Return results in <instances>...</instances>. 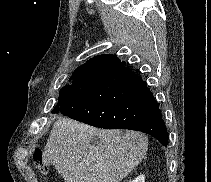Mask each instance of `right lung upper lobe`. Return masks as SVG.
Here are the masks:
<instances>
[{"label":"right lung upper lobe","mask_w":211,"mask_h":182,"mask_svg":"<svg viewBox=\"0 0 211 182\" xmlns=\"http://www.w3.org/2000/svg\"><path fill=\"white\" fill-rule=\"evenodd\" d=\"M84 66H85V64H84V65H82V70H83Z\"/></svg>","instance_id":"right-lung-upper-lobe-1"}]
</instances>
